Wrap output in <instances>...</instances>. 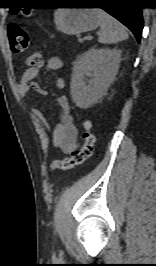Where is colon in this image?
<instances>
[{"instance_id":"5ec220e1","label":"colon","mask_w":156,"mask_h":266,"mask_svg":"<svg viewBox=\"0 0 156 266\" xmlns=\"http://www.w3.org/2000/svg\"><path fill=\"white\" fill-rule=\"evenodd\" d=\"M26 16H29V12H25ZM7 35L9 39L10 48L15 53L24 52L30 47L31 37L29 33L22 27L16 24H10L7 27ZM42 54L40 52H33L26 58V66L28 68H34L42 64ZM84 131L82 133V147L79 150H75L69 157L61 160H54L51 162L50 171L55 170H69L78 165L83 164L93 153L95 136L92 133V123L90 120L83 121Z\"/></svg>"}]
</instances>
